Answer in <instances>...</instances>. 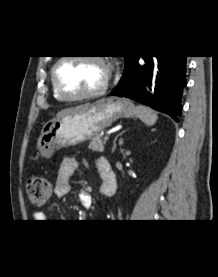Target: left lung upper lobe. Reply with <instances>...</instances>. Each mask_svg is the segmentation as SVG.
I'll use <instances>...</instances> for the list:
<instances>
[{
  "label": "left lung upper lobe",
  "mask_w": 218,
  "mask_h": 277,
  "mask_svg": "<svg viewBox=\"0 0 218 277\" xmlns=\"http://www.w3.org/2000/svg\"><path fill=\"white\" fill-rule=\"evenodd\" d=\"M133 57L134 56H131V55L130 56H124V58H125V65H127Z\"/></svg>",
  "instance_id": "1"
}]
</instances>
